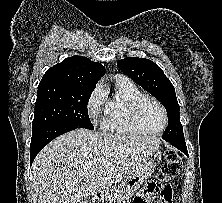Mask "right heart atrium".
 Listing matches in <instances>:
<instances>
[{
    "mask_svg": "<svg viewBox=\"0 0 222 203\" xmlns=\"http://www.w3.org/2000/svg\"><path fill=\"white\" fill-rule=\"evenodd\" d=\"M106 102V92L101 86H97L88 101V113L93 122L100 118L102 109Z\"/></svg>",
    "mask_w": 222,
    "mask_h": 203,
    "instance_id": "obj_1",
    "label": "right heart atrium"
}]
</instances>
